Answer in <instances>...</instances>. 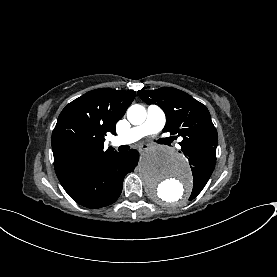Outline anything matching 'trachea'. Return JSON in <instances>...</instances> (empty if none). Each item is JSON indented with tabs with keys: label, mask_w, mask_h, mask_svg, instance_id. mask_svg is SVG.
Instances as JSON below:
<instances>
[{
	"label": "trachea",
	"mask_w": 277,
	"mask_h": 277,
	"mask_svg": "<svg viewBox=\"0 0 277 277\" xmlns=\"http://www.w3.org/2000/svg\"><path fill=\"white\" fill-rule=\"evenodd\" d=\"M129 148H130L129 146L125 145V146H120V147L118 148V150H119V151H127Z\"/></svg>",
	"instance_id": "trachea-1"
}]
</instances>
